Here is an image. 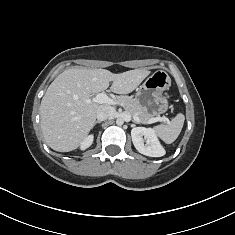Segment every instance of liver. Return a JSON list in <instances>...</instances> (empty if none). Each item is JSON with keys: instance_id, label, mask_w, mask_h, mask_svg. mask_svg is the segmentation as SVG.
Returning a JSON list of instances; mask_svg holds the SVG:
<instances>
[{"instance_id": "6515ba94", "label": "liver", "mask_w": 235, "mask_h": 235, "mask_svg": "<svg viewBox=\"0 0 235 235\" xmlns=\"http://www.w3.org/2000/svg\"><path fill=\"white\" fill-rule=\"evenodd\" d=\"M150 74L134 69L114 74L106 69L70 68L59 74L49 85L40 106V125L49 147L59 152L78 148L96 122L101 106L91 94L109 87L116 94H128Z\"/></svg>"}]
</instances>
